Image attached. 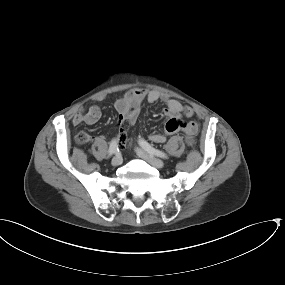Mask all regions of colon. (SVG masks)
<instances>
[{
  "instance_id": "obj_1",
  "label": "colon",
  "mask_w": 285,
  "mask_h": 285,
  "mask_svg": "<svg viewBox=\"0 0 285 285\" xmlns=\"http://www.w3.org/2000/svg\"><path fill=\"white\" fill-rule=\"evenodd\" d=\"M183 114L185 115V117L189 118V117L193 116L194 109L191 106L187 105V106H185V108L183 110ZM89 140H90L89 136L85 133L78 135V137L76 138L77 143L80 145H84V144L88 143ZM192 142H193V137L189 140V143H192Z\"/></svg>"
}]
</instances>
